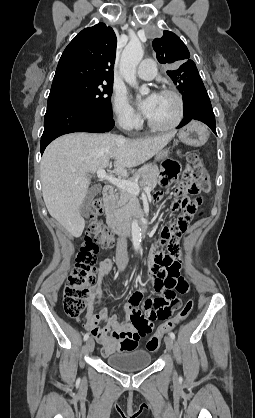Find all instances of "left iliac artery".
<instances>
[{
    "instance_id": "obj_1",
    "label": "left iliac artery",
    "mask_w": 255,
    "mask_h": 418,
    "mask_svg": "<svg viewBox=\"0 0 255 418\" xmlns=\"http://www.w3.org/2000/svg\"><path fill=\"white\" fill-rule=\"evenodd\" d=\"M170 337L173 339V340H175V334H174V332H170Z\"/></svg>"
}]
</instances>
